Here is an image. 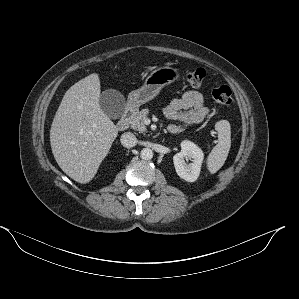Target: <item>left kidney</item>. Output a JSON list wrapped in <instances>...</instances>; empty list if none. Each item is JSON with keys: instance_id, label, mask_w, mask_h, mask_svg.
I'll return each instance as SVG.
<instances>
[{"instance_id": "obj_1", "label": "left kidney", "mask_w": 299, "mask_h": 299, "mask_svg": "<svg viewBox=\"0 0 299 299\" xmlns=\"http://www.w3.org/2000/svg\"><path fill=\"white\" fill-rule=\"evenodd\" d=\"M186 160H192L187 163ZM204 159L203 151L193 142L185 140L181 143V151L174 155L173 162L178 176L187 182H194L200 174Z\"/></svg>"}]
</instances>
